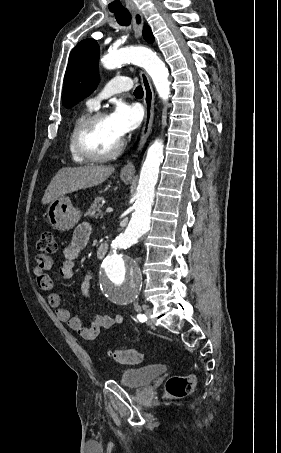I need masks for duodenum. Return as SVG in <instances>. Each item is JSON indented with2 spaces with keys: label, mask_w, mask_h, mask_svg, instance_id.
<instances>
[{
  "label": "duodenum",
  "mask_w": 281,
  "mask_h": 453,
  "mask_svg": "<svg viewBox=\"0 0 281 453\" xmlns=\"http://www.w3.org/2000/svg\"><path fill=\"white\" fill-rule=\"evenodd\" d=\"M108 251V246L106 243H100L96 250V255L98 258H103Z\"/></svg>",
  "instance_id": "obj_1"
}]
</instances>
